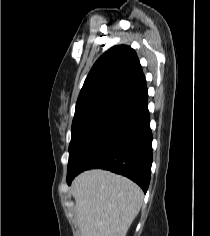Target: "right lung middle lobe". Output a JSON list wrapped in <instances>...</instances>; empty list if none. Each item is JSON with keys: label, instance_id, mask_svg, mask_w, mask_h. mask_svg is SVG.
Wrapping results in <instances>:
<instances>
[{"label": "right lung middle lobe", "instance_id": "obj_1", "mask_svg": "<svg viewBox=\"0 0 210 236\" xmlns=\"http://www.w3.org/2000/svg\"><path fill=\"white\" fill-rule=\"evenodd\" d=\"M130 93L128 89H115L76 105L69 145V161L88 133Z\"/></svg>", "mask_w": 210, "mask_h": 236}]
</instances>
